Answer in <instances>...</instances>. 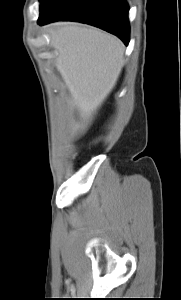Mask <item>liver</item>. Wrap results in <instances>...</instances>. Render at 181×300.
<instances>
[{
	"instance_id": "6515ba94",
	"label": "liver",
	"mask_w": 181,
	"mask_h": 300,
	"mask_svg": "<svg viewBox=\"0 0 181 300\" xmlns=\"http://www.w3.org/2000/svg\"><path fill=\"white\" fill-rule=\"evenodd\" d=\"M47 32L57 54L55 67L79 115L73 129L83 133L116 85L125 47L109 33L76 23H58Z\"/></svg>"
}]
</instances>
